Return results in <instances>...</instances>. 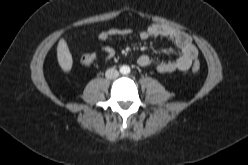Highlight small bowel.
Returning a JSON list of instances; mask_svg holds the SVG:
<instances>
[{
	"instance_id": "small-bowel-1",
	"label": "small bowel",
	"mask_w": 248,
	"mask_h": 165,
	"mask_svg": "<svg viewBox=\"0 0 248 165\" xmlns=\"http://www.w3.org/2000/svg\"><path fill=\"white\" fill-rule=\"evenodd\" d=\"M130 28H110L101 31L97 38L100 41H106L112 37H126L132 33ZM141 40L150 38H161L170 41L178 50L179 56L172 60H154L149 55H141L137 63L141 67H154L159 73L166 74L175 71H186L196 61L198 49L193 44L190 36L173 27L155 24L151 25L139 33ZM100 52L105 61H109L115 56V49L111 46L104 45L100 47Z\"/></svg>"
}]
</instances>
